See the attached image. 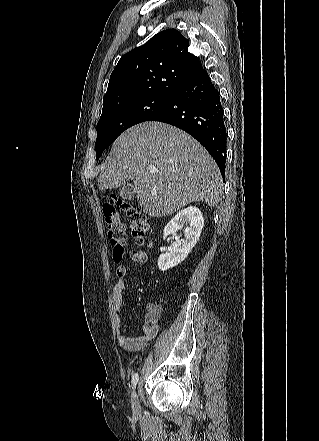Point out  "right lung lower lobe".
I'll use <instances>...</instances> for the list:
<instances>
[{"label": "right lung lower lobe", "instance_id": "right-lung-lower-lobe-1", "mask_svg": "<svg viewBox=\"0 0 319 441\" xmlns=\"http://www.w3.org/2000/svg\"><path fill=\"white\" fill-rule=\"evenodd\" d=\"M148 121L168 123L192 135L224 173L227 134L223 107L220 94L205 69L183 83L169 103Z\"/></svg>", "mask_w": 319, "mask_h": 441}]
</instances>
